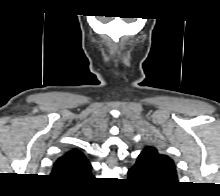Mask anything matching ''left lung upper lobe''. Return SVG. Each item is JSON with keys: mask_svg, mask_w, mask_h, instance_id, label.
Instances as JSON below:
<instances>
[{"mask_svg": "<svg viewBox=\"0 0 220 196\" xmlns=\"http://www.w3.org/2000/svg\"><path fill=\"white\" fill-rule=\"evenodd\" d=\"M147 169L156 184L167 186L177 182V172L173 160L161 154L156 148L147 146L138 156V160Z\"/></svg>", "mask_w": 220, "mask_h": 196, "instance_id": "1", "label": "left lung upper lobe"}]
</instances>
